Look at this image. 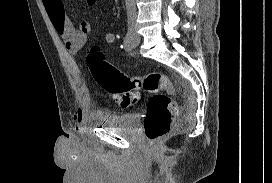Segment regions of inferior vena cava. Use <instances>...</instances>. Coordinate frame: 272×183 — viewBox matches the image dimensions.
Returning a JSON list of instances; mask_svg holds the SVG:
<instances>
[{"label":"inferior vena cava","instance_id":"1","mask_svg":"<svg viewBox=\"0 0 272 183\" xmlns=\"http://www.w3.org/2000/svg\"><path fill=\"white\" fill-rule=\"evenodd\" d=\"M126 1V9H127V17H128V27L133 28L136 19V8H135V0H125Z\"/></svg>","mask_w":272,"mask_h":183}]
</instances>
